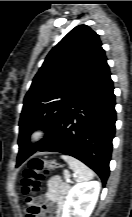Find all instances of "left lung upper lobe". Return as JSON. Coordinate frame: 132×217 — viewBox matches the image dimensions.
<instances>
[{"instance_id":"left-lung-upper-lobe-1","label":"left lung upper lobe","mask_w":132,"mask_h":217,"mask_svg":"<svg viewBox=\"0 0 132 217\" xmlns=\"http://www.w3.org/2000/svg\"><path fill=\"white\" fill-rule=\"evenodd\" d=\"M99 35L86 25L72 29L47 55L24 98L19 139L33 153L53 131L68 107L107 60ZM46 136L31 144L30 134Z\"/></svg>"}]
</instances>
